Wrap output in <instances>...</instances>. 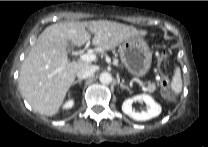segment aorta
<instances>
[{
  "label": "aorta",
  "instance_id": "aorta-1",
  "mask_svg": "<svg viewBox=\"0 0 208 147\" xmlns=\"http://www.w3.org/2000/svg\"><path fill=\"white\" fill-rule=\"evenodd\" d=\"M112 80H113V78H112L111 74H109V73H102L100 75V82L102 84L108 85L112 82Z\"/></svg>",
  "mask_w": 208,
  "mask_h": 147
}]
</instances>
